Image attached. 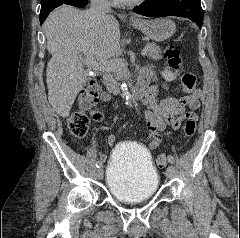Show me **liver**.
Here are the masks:
<instances>
[{
    "label": "liver",
    "mask_w": 240,
    "mask_h": 238,
    "mask_svg": "<svg viewBox=\"0 0 240 238\" xmlns=\"http://www.w3.org/2000/svg\"><path fill=\"white\" fill-rule=\"evenodd\" d=\"M44 30L52 55L46 69L48 100L67 118L86 77L79 56L98 61L114 56L120 47L119 24L112 15L97 17L63 5L49 14Z\"/></svg>",
    "instance_id": "6515ba94"
}]
</instances>
